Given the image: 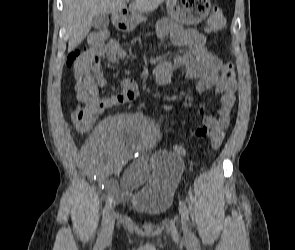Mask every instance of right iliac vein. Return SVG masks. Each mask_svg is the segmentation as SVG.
Returning <instances> with one entry per match:
<instances>
[{
    "label": "right iliac vein",
    "mask_w": 295,
    "mask_h": 250,
    "mask_svg": "<svg viewBox=\"0 0 295 250\" xmlns=\"http://www.w3.org/2000/svg\"><path fill=\"white\" fill-rule=\"evenodd\" d=\"M114 225H115V220L113 216H110L105 228V233H104V238L106 240H109L112 237L113 231H114Z\"/></svg>",
    "instance_id": "right-iliac-vein-1"
}]
</instances>
